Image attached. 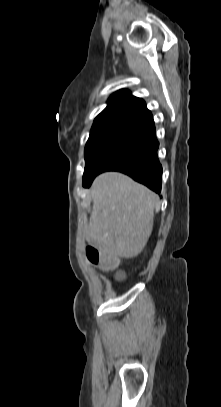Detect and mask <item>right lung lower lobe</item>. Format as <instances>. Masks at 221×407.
<instances>
[{
    "instance_id": "98d812e1",
    "label": "right lung lower lobe",
    "mask_w": 221,
    "mask_h": 407,
    "mask_svg": "<svg viewBox=\"0 0 221 407\" xmlns=\"http://www.w3.org/2000/svg\"><path fill=\"white\" fill-rule=\"evenodd\" d=\"M158 147L154 121L151 120L127 138L83 186L89 187L93 179L102 172L119 171L159 193L162 166L157 156Z\"/></svg>"
}]
</instances>
